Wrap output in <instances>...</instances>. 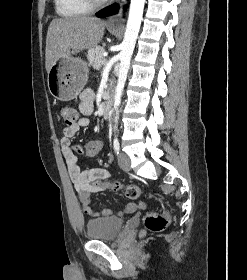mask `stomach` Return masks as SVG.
Masks as SVG:
<instances>
[{
  "instance_id": "obj_1",
  "label": "stomach",
  "mask_w": 247,
  "mask_h": 280,
  "mask_svg": "<svg viewBox=\"0 0 247 280\" xmlns=\"http://www.w3.org/2000/svg\"><path fill=\"white\" fill-rule=\"evenodd\" d=\"M74 51H66L48 73L50 93L61 101L75 99L88 79V64L74 56Z\"/></svg>"
}]
</instances>
